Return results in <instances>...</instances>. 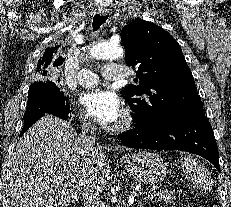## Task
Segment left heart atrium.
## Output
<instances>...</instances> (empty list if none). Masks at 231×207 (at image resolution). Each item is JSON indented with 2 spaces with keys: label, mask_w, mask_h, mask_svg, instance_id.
Returning a JSON list of instances; mask_svg holds the SVG:
<instances>
[{
  "label": "left heart atrium",
  "mask_w": 231,
  "mask_h": 207,
  "mask_svg": "<svg viewBox=\"0 0 231 207\" xmlns=\"http://www.w3.org/2000/svg\"><path fill=\"white\" fill-rule=\"evenodd\" d=\"M86 112L104 124L118 121L123 115V103L116 93L110 90L93 89L80 96Z\"/></svg>",
  "instance_id": "left-heart-atrium-1"
}]
</instances>
